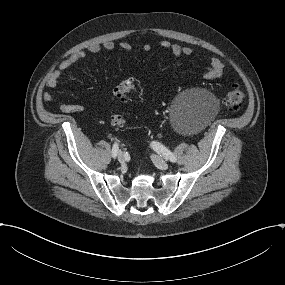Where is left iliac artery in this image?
I'll return each mask as SVG.
<instances>
[{
  "instance_id": "44dca946",
  "label": "left iliac artery",
  "mask_w": 285,
  "mask_h": 285,
  "mask_svg": "<svg viewBox=\"0 0 285 285\" xmlns=\"http://www.w3.org/2000/svg\"><path fill=\"white\" fill-rule=\"evenodd\" d=\"M152 148L163 155V157H165L166 159H169L171 162L175 163L177 161L175 155L170 152L164 145H162L159 142H152L151 144Z\"/></svg>"
}]
</instances>
